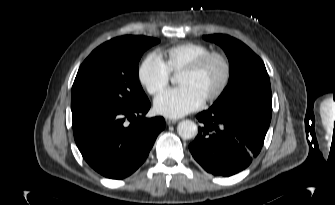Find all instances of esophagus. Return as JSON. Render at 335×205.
Returning a JSON list of instances; mask_svg holds the SVG:
<instances>
[{
  "label": "esophagus",
  "mask_w": 335,
  "mask_h": 205,
  "mask_svg": "<svg viewBox=\"0 0 335 205\" xmlns=\"http://www.w3.org/2000/svg\"><path fill=\"white\" fill-rule=\"evenodd\" d=\"M176 122H177V120H175V119H166V123H167L168 125L175 124Z\"/></svg>",
  "instance_id": "obj_1"
}]
</instances>
